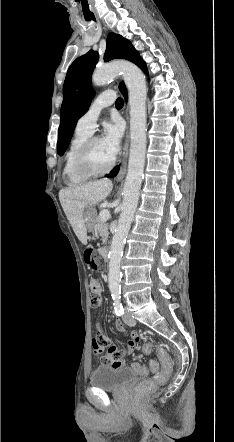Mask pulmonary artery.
<instances>
[{
  "label": "pulmonary artery",
  "instance_id": "obj_1",
  "mask_svg": "<svg viewBox=\"0 0 234 442\" xmlns=\"http://www.w3.org/2000/svg\"><path fill=\"white\" fill-rule=\"evenodd\" d=\"M115 100L113 92L105 91L100 93L91 103L88 110L78 119L76 130L92 134L95 129L96 121L105 107L111 105Z\"/></svg>",
  "mask_w": 234,
  "mask_h": 442
}]
</instances>
